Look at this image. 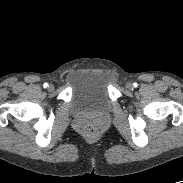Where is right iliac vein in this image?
<instances>
[{
    "label": "right iliac vein",
    "mask_w": 183,
    "mask_h": 183,
    "mask_svg": "<svg viewBox=\"0 0 183 183\" xmlns=\"http://www.w3.org/2000/svg\"><path fill=\"white\" fill-rule=\"evenodd\" d=\"M48 90L53 91L54 90V85H52V84L48 85Z\"/></svg>",
    "instance_id": "obj_1"
}]
</instances>
